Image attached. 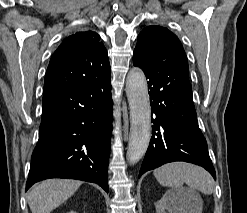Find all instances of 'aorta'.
Wrapping results in <instances>:
<instances>
[{
	"label": "aorta",
	"mask_w": 247,
	"mask_h": 213,
	"mask_svg": "<svg viewBox=\"0 0 247 213\" xmlns=\"http://www.w3.org/2000/svg\"><path fill=\"white\" fill-rule=\"evenodd\" d=\"M126 95L130 108V135L127 159L137 163L147 151L151 137V109L146 77L139 68H132L126 79Z\"/></svg>",
	"instance_id": "1"
}]
</instances>
